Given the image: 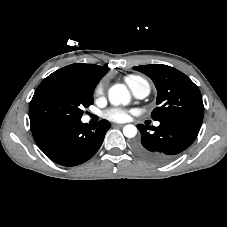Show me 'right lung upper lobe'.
Masks as SVG:
<instances>
[{
	"instance_id": "cb5924a9",
	"label": "right lung upper lobe",
	"mask_w": 227,
	"mask_h": 227,
	"mask_svg": "<svg viewBox=\"0 0 227 227\" xmlns=\"http://www.w3.org/2000/svg\"><path fill=\"white\" fill-rule=\"evenodd\" d=\"M109 71L108 67L94 64L75 63L63 67L52 76L61 77L67 80L78 82L84 87L94 90L99 80Z\"/></svg>"
}]
</instances>
